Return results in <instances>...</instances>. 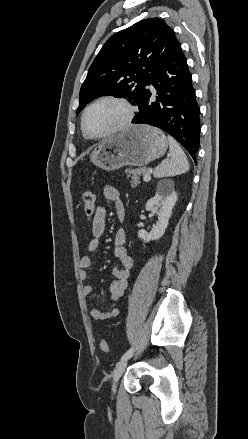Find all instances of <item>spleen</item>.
Returning <instances> with one entry per match:
<instances>
[{"instance_id": "1", "label": "spleen", "mask_w": 248, "mask_h": 439, "mask_svg": "<svg viewBox=\"0 0 248 439\" xmlns=\"http://www.w3.org/2000/svg\"><path fill=\"white\" fill-rule=\"evenodd\" d=\"M168 141L170 154L154 169L153 175L156 178L173 177L189 170L187 157L180 145L171 136H168Z\"/></svg>"}]
</instances>
